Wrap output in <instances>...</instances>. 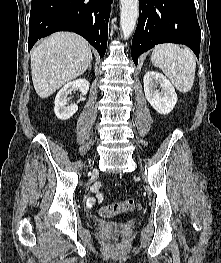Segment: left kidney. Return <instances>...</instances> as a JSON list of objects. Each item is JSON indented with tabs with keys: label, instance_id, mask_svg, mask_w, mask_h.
<instances>
[{
	"label": "left kidney",
	"instance_id": "left-kidney-1",
	"mask_svg": "<svg viewBox=\"0 0 221 263\" xmlns=\"http://www.w3.org/2000/svg\"><path fill=\"white\" fill-rule=\"evenodd\" d=\"M144 92L147 101L160 114L170 113L177 103V94L170 81L156 71L144 75ZM161 88L157 90V87Z\"/></svg>",
	"mask_w": 221,
	"mask_h": 263
}]
</instances>
